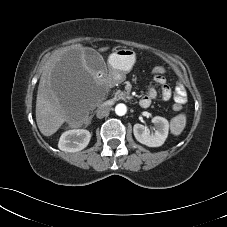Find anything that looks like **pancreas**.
Segmentation results:
<instances>
[{"label":"pancreas","instance_id":"pancreas-1","mask_svg":"<svg viewBox=\"0 0 227 227\" xmlns=\"http://www.w3.org/2000/svg\"><path fill=\"white\" fill-rule=\"evenodd\" d=\"M129 99V95L126 92H123L121 90H118L115 93V96L113 98V101H117V100H127Z\"/></svg>","mask_w":227,"mask_h":227}]
</instances>
